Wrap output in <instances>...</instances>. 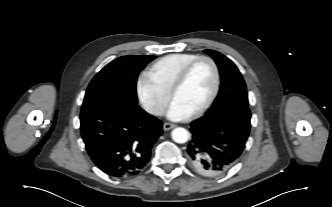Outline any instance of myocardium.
I'll use <instances>...</instances> for the list:
<instances>
[{
    "label": "myocardium",
    "instance_id": "myocardium-1",
    "mask_svg": "<svg viewBox=\"0 0 332 207\" xmlns=\"http://www.w3.org/2000/svg\"><path fill=\"white\" fill-rule=\"evenodd\" d=\"M201 61H206L211 65L213 73H214V84H213L212 91H211L209 97L207 98V100L198 109H196L195 111H193L191 113L192 116H199V115L203 114L213 104L214 100L217 97V94L220 89L221 75H220V70H219V67H218L216 61L209 56L201 55V56L196 57L195 59H193L192 61L187 63L182 68V70L177 75V77L174 80V82L171 86V89H170V96H171V98H173L176 91L185 83L192 68Z\"/></svg>",
    "mask_w": 332,
    "mask_h": 207
}]
</instances>
